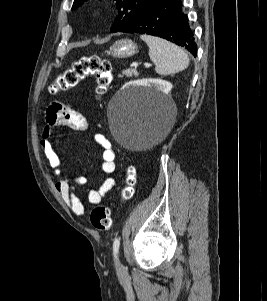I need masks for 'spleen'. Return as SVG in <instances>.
Wrapping results in <instances>:
<instances>
[{
    "label": "spleen",
    "mask_w": 267,
    "mask_h": 301,
    "mask_svg": "<svg viewBox=\"0 0 267 301\" xmlns=\"http://www.w3.org/2000/svg\"><path fill=\"white\" fill-rule=\"evenodd\" d=\"M149 47V57L160 75H171L185 70L189 65L188 55L177 45L159 37L142 35Z\"/></svg>",
    "instance_id": "obj_1"
}]
</instances>
